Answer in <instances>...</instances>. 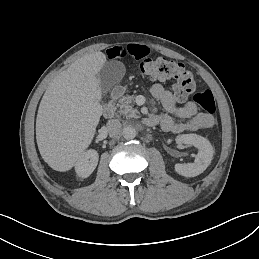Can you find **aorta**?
Listing matches in <instances>:
<instances>
[{
	"label": "aorta",
	"instance_id": "obj_1",
	"mask_svg": "<svg viewBox=\"0 0 259 259\" xmlns=\"http://www.w3.org/2000/svg\"><path fill=\"white\" fill-rule=\"evenodd\" d=\"M122 135L126 140H132L136 137V130L133 126H126L123 128Z\"/></svg>",
	"mask_w": 259,
	"mask_h": 259
}]
</instances>
